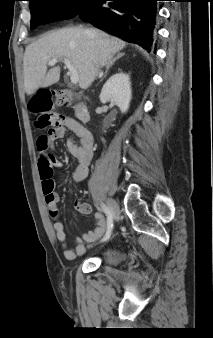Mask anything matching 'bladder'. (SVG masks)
<instances>
[{
    "mask_svg": "<svg viewBox=\"0 0 213 338\" xmlns=\"http://www.w3.org/2000/svg\"><path fill=\"white\" fill-rule=\"evenodd\" d=\"M99 260L101 265L115 267L120 262V250L115 246H107L102 250Z\"/></svg>",
    "mask_w": 213,
    "mask_h": 338,
    "instance_id": "obj_1",
    "label": "bladder"
}]
</instances>
